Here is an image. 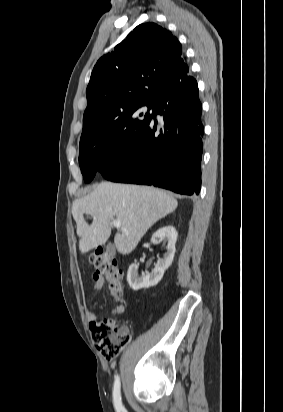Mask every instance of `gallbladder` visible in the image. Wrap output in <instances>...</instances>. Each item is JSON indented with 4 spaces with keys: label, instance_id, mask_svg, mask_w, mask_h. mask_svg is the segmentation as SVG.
<instances>
[{
    "label": "gallbladder",
    "instance_id": "obj_1",
    "mask_svg": "<svg viewBox=\"0 0 283 412\" xmlns=\"http://www.w3.org/2000/svg\"><path fill=\"white\" fill-rule=\"evenodd\" d=\"M107 253L109 256H113L115 254V248L112 244L107 246Z\"/></svg>",
    "mask_w": 283,
    "mask_h": 412
}]
</instances>
